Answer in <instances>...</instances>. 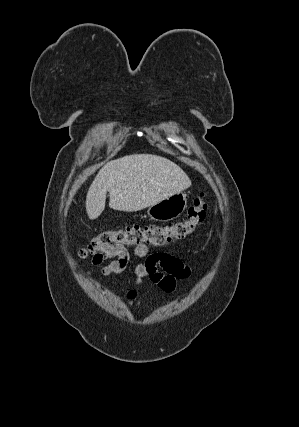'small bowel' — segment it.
<instances>
[{"label": "small bowel", "mask_w": 299, "mask_h": 427, "mask_svg": "<svg viewBox=\"0 0 299 427\" xmlns=\"http://www.w3.org/2000/svg\"><path fill=\"white\" fill-rule=\"evenodd\" d=\"M135 257H146L145 263L136 264L133 272L136 276L134 286H139L145 278L157 285L164 292H172L176 282L186 280L192 273L191 266L184 263L168 252L149 253L147 246H136L132 253ZM131 260V254L125 250L115 255V259L101 267L104 276L119 274L126 270ZM99 264V262H95ZM126 298L130 301L136 298V290L129 289Z\"/></svg>", "instance_id": "1"}]
</instances>
